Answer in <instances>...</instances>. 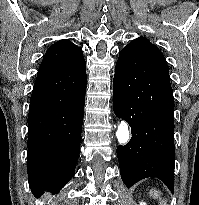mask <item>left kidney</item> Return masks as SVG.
Returning a JSON list of instances; mask_svg holds the SVG:
<instances>
[{"mask_svg":"<svg viewBox=\"0 0 199 205\" xmlns=\"http://www.w3.org/2000/svg\"><path fill=\"white\" fill-rule=\"evenodd\" d=\"M139 205H147L145 202H140Z\"/></svg>","mask_w":199,"mask_h":205,"instance_id":"obj_1","label":"left kidney"}]
</instances>
